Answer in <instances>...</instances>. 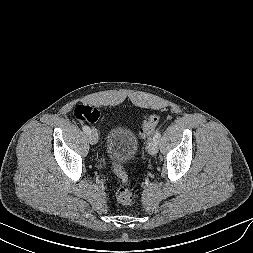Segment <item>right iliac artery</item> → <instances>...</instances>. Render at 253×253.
<instances>
[{
	"label": "right iliac artery",
	"instance_id": "right-iliac-artery-1",
	"mask_svg": "<svg viewBox=\"0 0 253 253\" xmlns=\"http://www.w3.org/2000/svg\"><path fill=\"white\" fill-rule=\"evenodd\" d=\"M82 129H83V131H84L86 134H88V133L91 132L90 128H89L87 125H84V126L82 127Z\"/></svg>",
	"mask_w": 253,
	"mask_h": 253
}]
</instances>
